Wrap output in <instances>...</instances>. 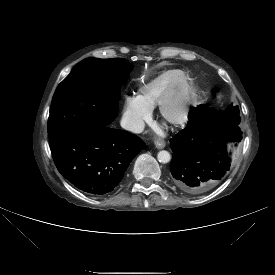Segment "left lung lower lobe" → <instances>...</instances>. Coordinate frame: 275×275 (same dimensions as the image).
Returning a JSON list of instances; mask_svg holds the SVG:
<instances>
[{"mask_svg": "<svg viewBox=\"0 0 275 275\" xmlns=\"http://www.w3.org/2000/svg\"><path fill=\"white\" fill-rule=\"evenodd\" d=\"M242 139L238 125L217 118L192 119L171 140L173 183L186 194H199L216 186L229 171L231 152Z\"/></svg>", "mask_w": 275, "mask_h": 275, "instance_id": "left-lung-lower-lobe-1", "label": "left lung lower lobe"}]
</instances>
